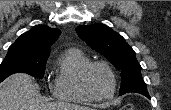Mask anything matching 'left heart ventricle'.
I'll use <instances>...</instances> for the list:
<instances>
[{
  "instance_id": "1",
  "label": "left heart ventricle",
  "mask_w": 171,
  "mask_h": 110,
  "mask_svg": "<svg viewBox=\"0 0 171 110\" xmlns=\"http://www.w3.org/2000/svg\"><path fill=\"white\" fill-rule=\"evenodd\" d=\"M88 85L96 96H107L112 90V79L105 68L97 66L89 73Z\"/></svg>"
}]
</instances>
